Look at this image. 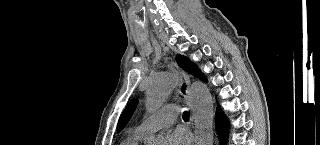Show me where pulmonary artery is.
I'll return each mask as SVG.
<instances>
[{
  "mask_svg": "<svg viewBox=\"0 0 320 145\" xmlns=\"http://www.w3.org/2000/svg\"><path fill=\"white\" fill-rule=\"evenodd\" d=\"M177 114L178 106L176 104H168L144 120L135 130L147 136L163 127L171 125L176 120Z\"/></svg>",
  "mask_w": 320,
  "mask_h": 145,
  "instance_id": "pulmonary-artery-1",
  "label": "pulmonary artery"
}]
</instances>
